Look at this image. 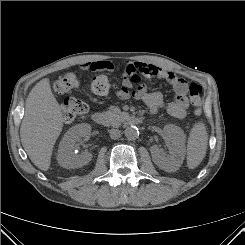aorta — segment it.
Masks as SVG:
<instances>
[{"label":"aorta","instance_id":"762f6f07","mask_svg":"<svg viewBox=\"0 0 245 245\" xmlns=\"http://www.w3.org/2000/svg\"><path fill=\"white\" fill-rule=\"evenodd\" d=\"M125 137L129 140H136L139 137V130L136 126H128L124 131Z\"/></svg>","mask_w":245,"mask_h":245}]
</instances>
